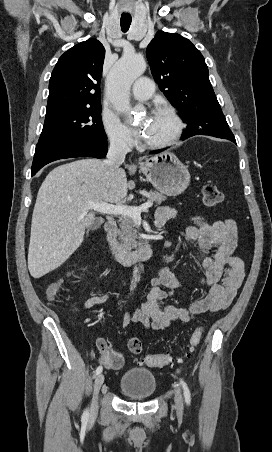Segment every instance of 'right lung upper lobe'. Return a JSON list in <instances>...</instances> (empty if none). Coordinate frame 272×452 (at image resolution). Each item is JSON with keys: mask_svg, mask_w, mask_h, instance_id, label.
Returning <instances> with one entry per match:
<instances>
[{"mask_svg": "<svg viewBox=\"0 0 272 452\" xmlns=\"http://www.w3.org/2000/svg\"><path fill=\"white\" fill-rule=\"evenodd\" d=\"M104 56L103 45L93 38L66 51L51 74L46 114L100 105Z\"/></svg>", "mask_w": 272, "mask_h": 452, "instance_id": "cb5924a9", "label": "right lung upper lobe"}]
</instances>
